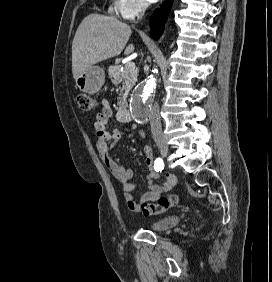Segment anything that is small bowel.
<instances>
[{
  "mask_svg": "<svg viewBox=\"0 0 272 282\" xmlns=\"http://www.w3.org/2000/svg\"><path fill=\"white\" fill-rule=\"evenodd\" d=\"M111 116L112 108L109 102L104 100L101 111L96 115L93 124L98 138L96 144L97 151L107 169L122 184L123 197L127 207L133 212H140L144 203L156 202L163 193L171 188L174 176L167 174L166 177L168 182L163 185L154 183V180L158 178V174L153 170V153L149 147L145 146L143 148L145 162L149 169L153 171L148 177L150 190L138 196L134 195L133 192L136 190L137 184L132 181L133 170L123 163L122 158H116L111 154L116 143L123 135V132L120 129L116 128L112 131L108 130L107 126ZM126 133L127 137L130 139H133L136 136L145 139L144 131L137 125H132L130 128H126Z\"/></svg>",
  "mask_w": 272,
  "mask_h": 282,
  "instance_id": "obj_1",
  "label": "small bowel"
}]
</instances>
